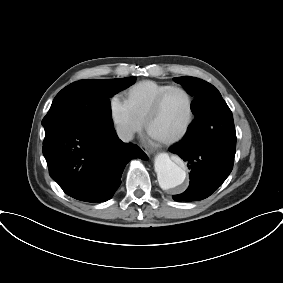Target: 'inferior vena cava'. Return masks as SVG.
<instances>
[{"label":"inferior vena cava","instance_id":"1","mask_svg":"<svg viewBox=\"0 0 283 283\" xmlns=\"http://www.w3.org/2000/svg\"><path fill=\"white\" fill-rule=\"evenodd\" d=\"M117 134L118 137L124 142H129L133 139V132L126 127H118Z\"/></svg>","mask_w":283,"mask_h":283}]
</instances>
